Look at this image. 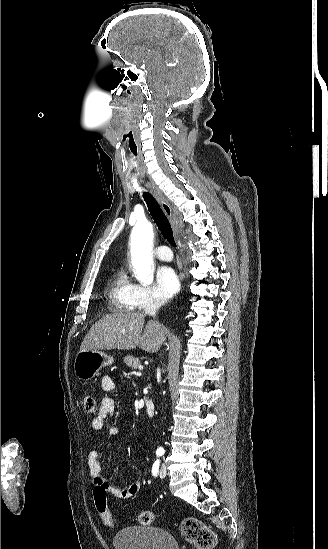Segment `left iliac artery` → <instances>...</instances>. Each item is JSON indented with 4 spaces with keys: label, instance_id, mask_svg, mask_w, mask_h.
Wrapping results in <instances>:
<instances>
[{
    "label": "left iliac artery",
    "instance_id": "1",
    "mask_svg": "<svg viewBox=\"0 0 328 549\" xmlns=\"http://www.w3.org/2000/svg\"><path fill=\"white\" fill-rule=\"evenodd\" d=\"M159 465H160V460L157 459V460L154 462L153 466H152V474H153L154 476H157V474H158Z\"/></svg>",
    "mask_w": 328,
    "mask_h": 549
}]
</instances>
